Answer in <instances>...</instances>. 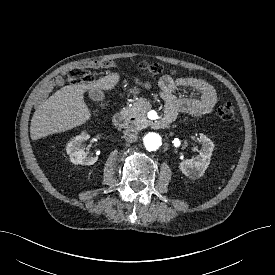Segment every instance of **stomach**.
<instances>
[{"label": "stomach", "mask_w": 275, "mask_h": 275, "mask_svg": "<svg viewBox=\"0 0 275 275\" xmlns=\"http://www.w3.org/2000/svg\"><path fill=\"white\" fill-rule=\"evenodd\" d=\"M131 92L134 93V94H136V93H138L139 91H138L137 89H134V90H132Z\"/></svg>", "instance_id": "0dacf381"}]
</instances>
